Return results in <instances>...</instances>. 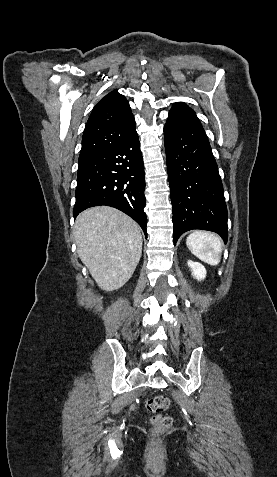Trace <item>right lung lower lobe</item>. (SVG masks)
<instances>
[{
  "mask_svg": "<svg viewBox=\"0 0 277 477\" xmlns=\"http://www.w3.org/2000/svg\"><path fill=\"white\" fill-rule=\"evenodd\" d=\"M144 190V164L135 130L116 146L79 162L74 218L89 207L111 206L133 218L147 237Z\"/></svg>",
  "mask_w": 277,
  "mask_h": 477,
  "instance_id": "obj_1",
  "label": "right lung lower lobe"
}]
</instances>
